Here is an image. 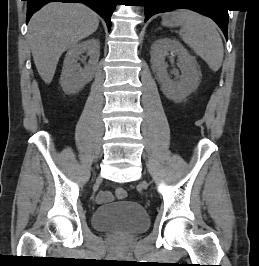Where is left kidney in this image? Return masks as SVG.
<instances>
[{"mask_svg": "<svg viewBox=\"0 0 259 266\" xmlns=\"http://www.w3.org/2000/svg\"><path fill=\"white\" fill-rule=\"evenodd\" d=\"M170 53L179 59L181 76L178 81L170 79L167 72L165 57ZM151 64L167 98L180 102L198 88L200 72L197 61L176 39L166 37L156 40L151 47Z\"/></svg>", "mask_w": 259, "mask_h": 266, "instance_id": "5707ae66", "label": "left kidney"}]
</instances>
